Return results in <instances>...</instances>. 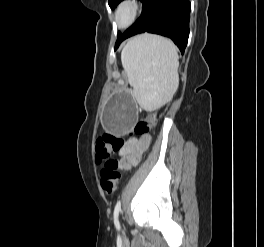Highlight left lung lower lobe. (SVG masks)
I'll list each match as a JSON object with an SVG mask.
<instances>
[{
	"instance_id": "obj_1",
	"label": "left lung lower lobe",
	"mask_w": 264,
	"mask_h": 247,
	"mask_svg": "<svg viewBox=\"0 0 264 247\" xmlns=\"http://www.w3.org/2000/svg\"><path fill=\"white\" fill-rule=\"evenodd\" d=\"M190 2L188 0H145L139 19L117 39V48L125 39L144 32L173 40L182 54L189 37Z\"/></svg>"
}]
</instances>
